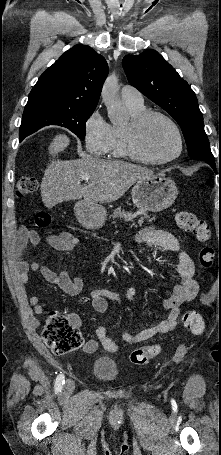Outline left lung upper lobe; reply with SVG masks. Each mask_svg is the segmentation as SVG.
Here are the masks:
<instances>
[{"instance_id": "1", "label": "left lung upper lobe", "mask_w": 221, "mask_h": 455, "mask_svg": "<svg viewBox=\"0 0 221 455\" xmlns=\"http://www.w3.org/2000/svg\"><path fill=\"white\" fill-rule=\"evenodd\" d=\"M122 64L129 83L178 122L189 156L214 159L195 93L175 69L155 50L126 55Z\"/></svg>"}]
</instances>
